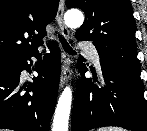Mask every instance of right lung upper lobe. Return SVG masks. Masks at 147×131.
<instances>
[{"instance_id": "cb5924a9", "label": "right lung upper lobe", "mask_w": 147, "mask_h": 131, "mask_svg": "<svg viewBox=\"0 0 147 131\" xmlns=\"http://www.w3.org/2000/svg\"><path fill=\"white\" fill-rule=\"evenodd\" d=\"M59 0H0V60L37 52Z\"/></svg>"}]
</instances>
